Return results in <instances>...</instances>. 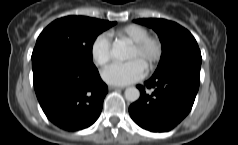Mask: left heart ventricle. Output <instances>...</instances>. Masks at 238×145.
I'll return each instance as SVG.
<instances>
[{
	"label": "left heart ventricle",
	"mask_w": 238,
	"mask_h": 145,
	"mask_svg": "<svg viewBox=\"0 0 238 145\" xmlns=\"http://www.w3.org/2000/svg\"><path fill=\"white\" fill-rule=\"evenodd\" d=\"M149 52L146 51L143 54H138L132 47L130 48L128 55H127V59H136L138 61L141 62V64L145 67L146 64V60H147V56H148Z\"/></svg>",
	"instance_id": "obj_1"
}]
</instances>
